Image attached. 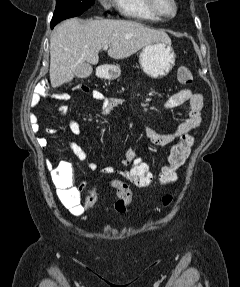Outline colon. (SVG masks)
I'll return each instance as SVG.
<instances>
[{"instance_id":"5ec220e1","label":"colon","mask_w":240,"mask_h":287,"mask_svg":"<svg viewBox=\"0 0 240 287\" xmlns=\"http://www.w3.org/2000/svg\"><path fill=\"white\" fill-rule=\"evenodd\" d=\"M177 78L184 85L193 83L192 72L187 67H180L177 71ZM83 85L76 87L82 90ZM194 138L192 133H186L180 136L179 142L174 144L169 151L166 163L154 172L149 163L140 155L130 162L126 170V180L139 188H146L154 182L160 185H170L177 177V170L184 164L190 154ZM52 179L56 185L61 188L62 194H71L76 188L73 185V171L71 165L66 161H61L52 170ZM113 186L117 190V201L115 202V210L120 214H125L128 210L132 199V192L127 183L122 181H114ZM98 199L97 189L91 188L87 191L84 208L91 211ZM172 201L170 195L163 197L164 206H168Z\"/></svg>"}]
</instances>
